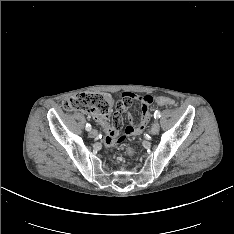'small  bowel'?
Wrapping results in <instances>:
<instances>
[{"mask_svg":"<svg viewBox=\"0 0 234 234\" xmlns=\"http://www.w3.org/2000/svg\"><path fill=\"white\" fill-rule=\"evenodd\" d=\"M136 100H138L140 104L142 118L139 124H135L132 115L128 113L127 119L130 125L126 127L125 135L130 136L134 133L136 134V137H139L142 126H145L149 122V106L153 102V98L151 96H137L136 93H128L126 95H121L120 100L115 101L116 108L113 111V118H111L110 120L111 124L106 119H101L98 116H95V120L99 122L103 127L105 133L103 142L106 146H115L117 144H120L124 140L123 136H119V130L123 125L121 113L124 112L127 108H129L130 104L132 102H135Z\"/></svg>","mask_w":234,"mask_h":234,"instance_id":"small-bowel-1","label":"small bowel"}]
</instances>
